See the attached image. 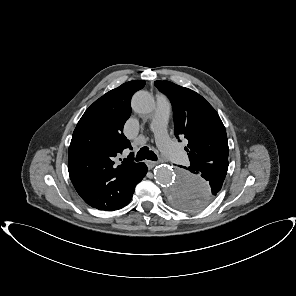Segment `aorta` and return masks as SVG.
I'll list each match as a JSON object with an SVG mask.
<instances>
[{"instance_id":"obj_1","label":"aorta","mask_w":296,"mask_h":296,"mask_svg":"<svg viewBox=\"0 0 296 296\" xmlns=\"http://www.w3.org/2000/svg\"><path fill=\"white\" fill-rule=\"evenodd\" d=\"M156 107L153 96L146 91H138L132 98V108L139 114H150ZM155 179L163 187L168 200L188 212H201L213 200V187L201 174L185 168L171 169L160 165L155 170Z\"/></svg>"}]
</instances>
